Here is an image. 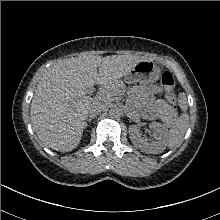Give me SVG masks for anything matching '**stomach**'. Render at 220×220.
<instances>
[{"label": "stomach", "mask_w": 220, "mask_h": 220, "mask_svg": "<svg viewBox=\"0 0 220 220\" xmlns=\"http://www.w3.org/2000/svg\"><path fill=\"white\" fill-rule=\"evenodd\" d=\"M161 69L155 62L142 60L138 62L124 77L126 83L143 85L154 83L160 77Z\"/></svg>", "instance_id": "1"}]
</instances>
